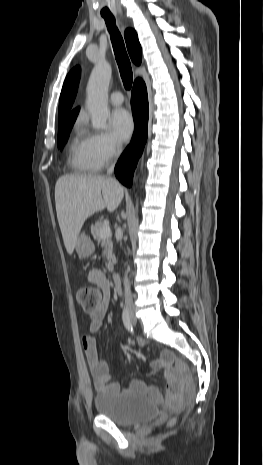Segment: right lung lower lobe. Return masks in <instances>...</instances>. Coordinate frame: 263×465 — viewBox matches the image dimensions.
<instances>
[{"label": "right lung lower lobe", "instance_id": "98d812e1", "mask_svg": "<svg viewBox=\"0 0 263 465\" xmlns=\"http://www.w3.org/2000/svg\"><path fill=\"white\" fill-rule=\"evenodd\" d=\"M131 106L135 122V131L131 143L115 166V175L127 187H131L133 173L147 140L148 97L145 83L136 79L132 89Z\"/></svg>", "mask_w": 263, "mask_h": 465}]
</instances>
